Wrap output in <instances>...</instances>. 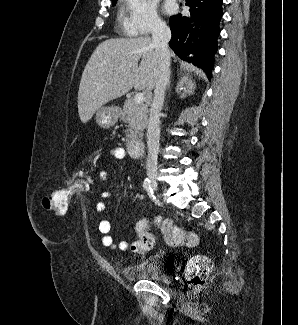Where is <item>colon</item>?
Listing matches in <instances>:
<instances>
[{"instance_id": "5ec220e1", "label": "colon", "mask_w": 298, "mask_h": 325, "mask_svg": "<svg viewBox=\"0 0 298 325\" xmlns=\"http://www.w3.org/2000/svg\"><path fill=\"white\" fill-rule=\"evenodd\" d=\"M94 186V181L90 175L84 171H77L73 176V182L65 187L52 190L46 193L42 199V205L46 210L53 211L56 216H63L69 209L70 200L78 192L90 190ZM156 226L167 245L173 247H191L198 243V236L189 231H185L175 226L165 218H155L154 220L143 219L136 226L137 238L131 244V250L135 253L143 254L150 251L154 245L153 235L148 228ZM211 262L204 257L192 258L185 270L188 283L193 287L203 285L211 272Z\"/></svg>"}]
</instances>
